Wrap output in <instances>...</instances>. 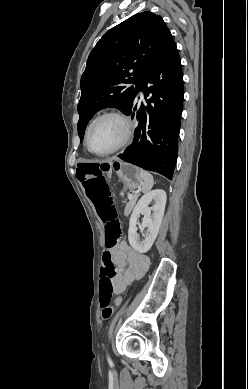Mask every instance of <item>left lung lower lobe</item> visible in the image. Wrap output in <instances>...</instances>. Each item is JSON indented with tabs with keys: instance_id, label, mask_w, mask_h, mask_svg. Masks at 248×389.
<instances>
[{
	"instance_id": "obj_1",
	"label": "left lung lower lobe",
	"mask_w": 248,
	"mask_h": 389,
	"mask_svg": "<svg viewBox=\"0 0 248 389\" xmlns=\"http://www.w3.org/2000/svg\"><path fill=\"white\" fill-rule=\"evenodd\" d=\"M140 90L145 98H150L146 100L147 106L142 104L139 109L135 98L124 112L134 117L137 111L139 123L133 143L118 157L171 180L184 95L181 60L175 43L151 68Z\"/></svg>"
}]
</instances>
